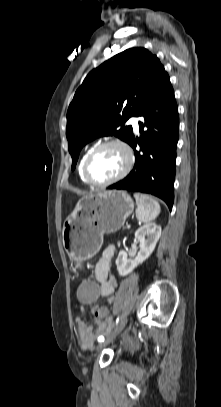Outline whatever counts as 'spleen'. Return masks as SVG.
<instances>
[{"instance_id": "3e777b00", "label": "spleen", "mask_w": 221, "mask_h": 407, "mask_svg": "<svg viewBox=\"0 0 221 407\" xmlns=\"http://www.w3.org/2000/svg\"><path fill=\"white\" fill-rule=\"evenodd\" d=\"M136 199V217L143 223H149L154 220L160 213L159 203L147 194L135 193Z\"/></svg>"}]
</instances>
